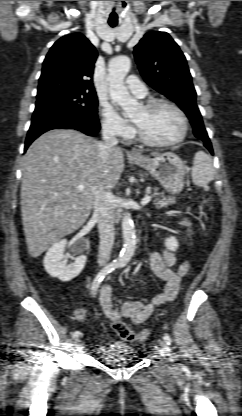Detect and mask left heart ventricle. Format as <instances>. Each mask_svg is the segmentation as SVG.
I'll use <instances>...</instances> for the list:
<instances>
[{
    "label": "left heart ventricle",
    "instance_id": "b2bd125f",
    "mask_svg": "<svg viewBox=\"0 0 242 416\" xmlns=\"http://www.w3.org/2000/svg\"><path fill=\"white\" fill-rule=\"evenodd\" d=\"M132 120L151 139L169 141L181 133L182 124L177 113L169 107L160 106L146 110L143 106L132 116Z\"/></svg>",
    "mask_w": 242,
    "mask_h": 416
}]
</instances>
